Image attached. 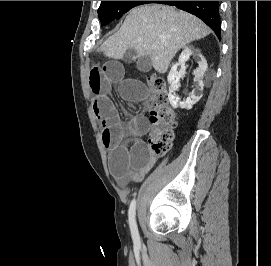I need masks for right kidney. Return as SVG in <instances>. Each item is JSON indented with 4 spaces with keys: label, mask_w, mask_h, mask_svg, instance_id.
<instances>
[{
    "label": "right kidney",
    "mask_w": 271,
    "mask_h": 266,
    "mask_svg": "<svg viewBox=\"0 0 271 266\" xmlns=\"http://www.w3.org/2000/svg\"><path fill=\"white\" fill-rule=\"evenodd\" d=\"M196 55L199 59L198 68L194 71V81L196 83V88L191 92L190 96L185 100L180 102L179 97L176 95V91L180 86V78L185 74V62L189 59L191 55ZM181 67L178 70V67ZM207 70V61L206 59L199 53H196L194 48L189 46L185 47L182 53L179 56L178 63L172 66L167 80L169 83V94L168 99L172 107L177 108L180 107L182 109H191L194 104H196L203 95V75Z\"/></svg>",
    "instance_id": "right-kidney-1"
}]
</instances>
